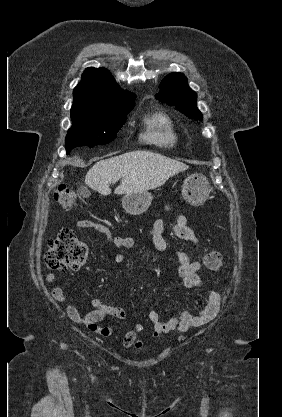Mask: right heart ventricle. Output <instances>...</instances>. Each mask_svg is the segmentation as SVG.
<instances>
[{"instance_id": "obj_1", "label": "right heart ventricle", "mask_w": 282, "mask_h": 417, "mask_svg": "<svg viewBox=\"0 0 282 417\" xmlns=\"http://www.w3.org/2000/svg\"><path fill=\"white\" fill-rule=\"evenodd\" d=\"M145 132L143 138L156 145H170L175 136L169 118L161 111H156L144 119Z\"/></svg>"}]
</instances>
